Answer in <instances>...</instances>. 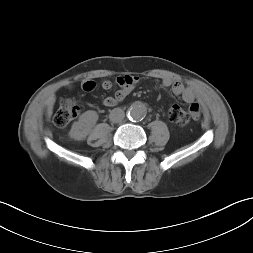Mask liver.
Instances as JSON below:
<instances>
[{"mask_svg": "<svg viewBox=\"0 0 253 253\" xmlns=\"http://www.w3.org/2000/svg\"><path fill=\"white\" fill-rule=\"evenodd\" d=\"M55 103V96L52 94L47 101V118L49 119L53 113V106Z\"/></svg>", "mask_w": 253, "mask_h": 253, "instance_id": "obj_1", "label": "liver"}]
</instances>
